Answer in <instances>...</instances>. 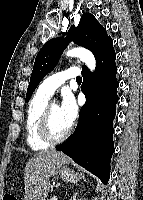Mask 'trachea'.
I'll return each mask as SVG.
<instances>
[{
    "label": "trachea",
    "mask_w": 143,
    "mask_h": 200,
    "mask_svg": "<svg viewBox=\"0 0 143 200\" xmlns=\"http://www.w3.org/2000/svg\"><path fill=\"white\" fill-rule=\"evenodd\" d=\"M76 81H77L78 83H80V82H82V78H81V77H77V78H76Z\"/></svg>",
    "instance_id": "3493384b"
}]
</instances>
